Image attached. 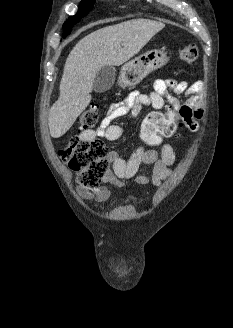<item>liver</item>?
I'll return each mask as SVG.
<instances>
[{
    "label": "liver",
    "mask_w": 233,
    "mask_h": 328,
    "mask_svg": "<svg viewBox=\"0 0 233 328\" xmlns=\"http://www.w3.org/2000/svg\"><path fill=\"white\" fill-rule=\"evenodd\" d=\"M164 27L161 22L134 19L98 29L81 39L66 59L60 96L49 111L50 135L63 136L86 109L94 79L103 66L122 65Z\"/></svg>",
    "instance_id": "1"
}]
</instances>
